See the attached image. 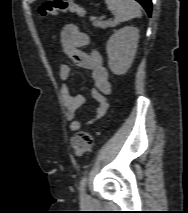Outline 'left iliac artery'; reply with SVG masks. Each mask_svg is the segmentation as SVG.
Returning a JSON list of instances; mask_svg holds the SVG:
<instances>
[{"mask_svg": "<svg viewBox=\"0 0 188 213\" xmlns=\"http://www.w3.org/2000/svg\"><path fill=\"white\" fill-rule=\"evenodd\" d=\"M86 182H87V176L85 175V176L81 179V181H80V187H79L80 191L83 192V193L85 192Z\"/></svg>", "mask_w": 188, "mask_h": 213, "instance_id": "44dca946", "label": "left iliac artery"}]
</instances>
